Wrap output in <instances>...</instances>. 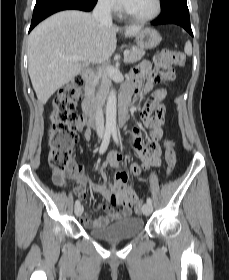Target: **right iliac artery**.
<instances>
[{
	"label": "right iliac artery",
	"mask_w": 229,
	"mask_h": 280,
	"mask_svg": "<svg viewBox=\"0 0 229 280\" xmlns=\"http://www.w3.org/2000/svg\"><path fill=\"white\" fill-rule=\"evenodd\" d=\"M111 133H112V130H106L105 131L104 139H103V142H102V144L100 146V149H99L100 154H103L107 150L108 145L110 143ZM79 205H80V201L76 200L75 206H79Z\"/></svg>",
	"instance_id": "82829eb1"
}]
</instances>
